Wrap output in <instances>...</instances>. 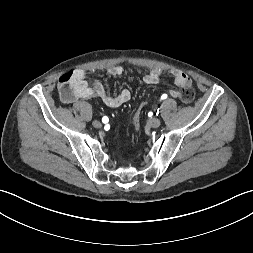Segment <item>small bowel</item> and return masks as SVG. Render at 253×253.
Here are the masks:
<instances>
[{"instance_id":"1","label":"small bowel","mask_w":253,"mask_h":253,"mask_svg":"<svg viewBox=\"0 0 253 253\" xmlns=\"http://www.w3.org/2000/svg\"><path fill=\"white\" fill-rule=\"evenodd\" d=\"M109 75L113 77L120 76L124 73L122 66H113L108 69ZM70 74L67 91L64 92L59 81V89L61 99L66 104L74 103L80 99H89L92 97L99 98L106 106L117 108L128 102L131 98V93L128 89H123L115 95H110L105 91L103 84L96 80L92 85H89L85 80L86 73L83 69H75ZM171 75L179 89H173L169 94L174 98H180L181 90L186 87H191V79L189 76L180 70H171L168 72ZM164 72L159 68L152 69L143 77V82L147 85L156 84L160 81Z\"/></svg>"}]
</instances>
